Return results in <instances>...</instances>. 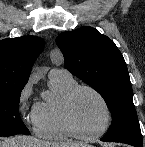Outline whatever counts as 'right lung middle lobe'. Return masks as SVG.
Wrapping results in <instances>:
<instances>
[{
    "instance_id": "right-lung-middle-lobe-1",
    "label": "right lung middle lobe",
    "mask_w": 145,
    "mask_h": 147,
    "mask_svg": "<svg viewBox=\"0 0 145 147\" xmlns=\"http://www.w3.org/2000/svg\"><path fill=\"white\" fill-rule=\"evenodd\" d=\"M24 87L0 92V137L16 134L30 135L29 130L19 117V101Z\"/></svg>"
}]
</instances>
